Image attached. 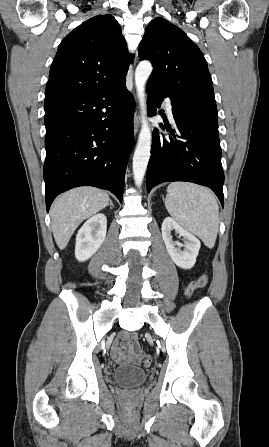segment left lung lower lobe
Segmentation results:
<instances>
[{
	"label": "left lung lower lobe",
	"instance_id": "1",
	"mask_svg": "<svg viewBox=\"0 0 269 447\" xmlns=\"http://www.w3.org/2000/svg\"><path fill=\"white\" fill-rule=\"evenodd\" d=\"M148 113L156 115L167 95L147 86ZM176 129L165 122L171 136L154 129L151 157L147 168V192L157 184L168 181H187L211 188L224 206V173L218 123L196 119L171 101ZM164 129L163 124H160Z\"/></svg>",
	"mask_w": 269,
	"mask_h": 447
}]
</instances>
